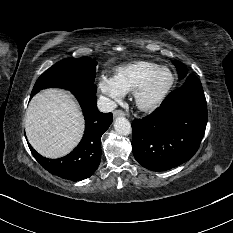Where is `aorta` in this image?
<instances>
[{
  "label": "aorta",
  "mask_w": 233,
  "mask_h": 233,
  "mask_svg": "<svg viewBox=\"0 0 233 233\" xmlns=\"http://www.w3.org/2000/svg\"><path fill=\"white\" fill-rule=\"evenodd\" d=\"M114 128L120 135L127 136L132 133L130 122L125 117H118L115 119Z\"/></svg>",
  "instance_id": "obj_1"
}]
</instances>
